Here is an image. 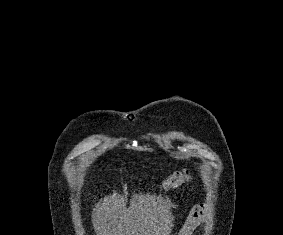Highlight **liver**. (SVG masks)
I'll return each instance as SVG.
<instances>
[{"label":"liver","instance_id":"6515ba94","mask_svg":"<svg viewBox=\"0 0 283 235\" xmlns=\"http://www.w3.org/2000/svg\"><path fill=\"white\" fill-rule=\"evenodd\" d=\"M119 194L105 196L93 209L96 235H168L173 216L171 202L155 194L133 195L130 205Z\"/></svg>","mask_w":283,"mask_h":235}]
</instances>
